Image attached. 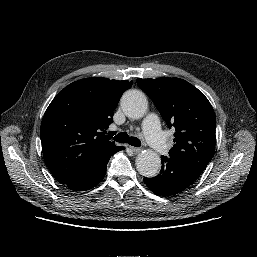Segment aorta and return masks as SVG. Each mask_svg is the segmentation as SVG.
I'll return each instance as SVG.
<instances>
[{
	"label": "aorta",
	"mask_w": 257,
	"mask_h": 257,
	"mask_svg": "<svg viewBox=\"0 0 257 257\" xmlns=\"http://www.w3.org/2000/svg\"><path fill=\"white\" fill-rule=\"evenodd\" d=\"M121 108L126 116L133 119L142 118L148 109L146 96L138 90L127 91L121 98ZM161 167L159 155L152 150L141 152L136 158L137 171L145 177H155Z\"/></svg>",
	"instance_id": "1"
}]
</instances>
